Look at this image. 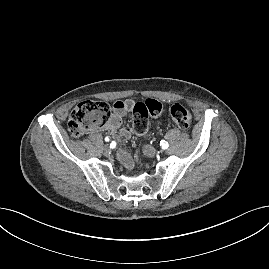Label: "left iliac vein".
<instances>
[{"label":"left iliac vein","mask_w":269,"mask_h":269,"mask_svg":"<svg viewBox=\"0 0 269 269\" xmlns=\"http://www.w3.org/2000/svg\"><path fill=\"white\" fill-rule=\"evenodd\" d=\"M144 154L148 157H153L155 155V150L152 147H146L144 149Z\"/></svg>","instance_id":"4c4485c4"}]
</instances>
